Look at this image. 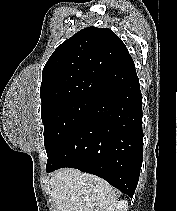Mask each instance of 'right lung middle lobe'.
<instances>
[{"label":"right lung middle lobe","instance_id":"right-lung-middle-lobe-1","mask_svg":"<svg viewBox=\"0 0 178 211\" xmlns=\"http://www.w3.org/2000/svg\"><path fill=\"white\" fill-rule=\"evenodd\" d=\"M97 99L75 98L41 110L44 144L47 156L68 136L87 115Z\"/></svg>","mask_w":178,"mask_h":211}]
</instances>
